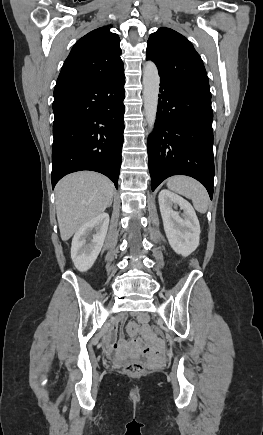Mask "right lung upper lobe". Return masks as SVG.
<instances>
[{
  "mask_svg": "<svg viewBox=\"0 0 263 435\" xmlns=\"http://www.w3.org/2000/svg\"><path fill=\"white\" fill-rule=\"evenodd\" d=\"M120 38L104 26L79 39L65 60L54 93L86 86L123 71Z\"/></svg>",
  "mask_w": 263,
  "mask_h": 435,
  "instance_id": "1",
  "label": "right lung upper lobe"
}]
</instances>
